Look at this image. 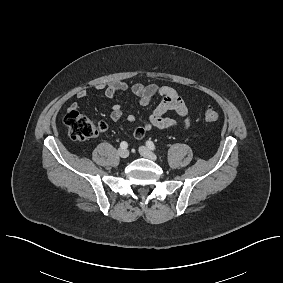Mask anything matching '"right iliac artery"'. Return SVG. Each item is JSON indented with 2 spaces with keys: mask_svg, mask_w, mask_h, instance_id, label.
I'll return each instance as SVG.
<instances>
[{
  "mask_svg": "<svg viewBox=\"0 0 283 283\" xmlns=\"http://www.w3.org/2000/svg\"><path fill=\"white\" fill-rule=\"evenodd\" d=\"M120 147H121L122 149H126V148L128 147L127 142L122 141V142L120 143Z\"/></svg>",
  "mask_w": 283,
  "mask_h": 283,
  "instance_id": "1",
  "label": "right iliac artery"
}]
</instances>
